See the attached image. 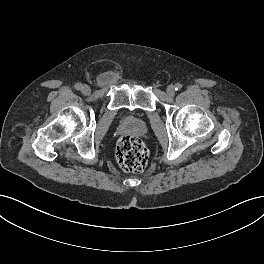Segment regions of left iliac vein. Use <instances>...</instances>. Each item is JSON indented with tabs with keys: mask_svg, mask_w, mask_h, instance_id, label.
<instances>
[{
	"mask_svg": "<svg viewBox=\"0 0 264 264\" xmlns=\"http://www.w3.org/2000/svg\"><path fill=\"white\" fill-rule=\"evenodd\" d=\"M167 94H168L169 96H173V95L175 94V88H174L173 85H169V86L167 87Z\"/></svg>",
	"mask_w": 264,
	"mask_h": 264,
	"instance_id": "obj_1",
	"label": "left iliac vein"
}]
</instances>
